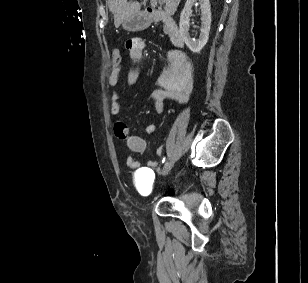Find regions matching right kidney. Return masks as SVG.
Here are the masks:
<instances>
[{
	"instance_id": "ca27d5eb",
	"label": "right kidney",
	"mask_w": 308,
	"mask_h": 283,
	"mask_svg": "<svg viewBox=\"0 0 308 283\" xmlns=\"http://www.w3.org/2000/svg\"><path fill=\"white\" fill-rule=\"evenodd\" d=\"M200 5L201 9V33L199 39L191 38L189 35V18L194 5ZM211 26V8L209 0H187L180 16L179 31L180 35L193 53H199L206 45L209 38Z\"/></svg>"
}]
</instances>
